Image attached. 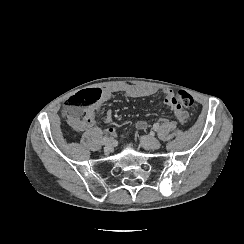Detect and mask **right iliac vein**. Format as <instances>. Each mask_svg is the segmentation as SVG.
<instances>
[{
    "label": "right iliac vein",
    "instance_id": "63e3f726",
    "mask_svg": "<svg viewBox=\"0 0 244 244\" xmlns=\"http://www.w3.org/2000/svg\"><path fill=\"white\" fill-rule=\"evenodd\" d=\"M114 146V140L109 138L106 142H105V151H110Z\"/></svg>",
    "mask_w": 244,
    "mask_h": 244
}]
</instances>
